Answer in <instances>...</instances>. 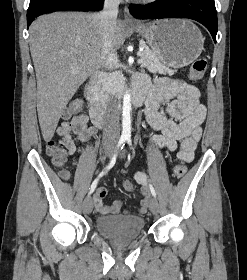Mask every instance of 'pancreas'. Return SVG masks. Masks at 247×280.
I'll return each mask as SVG.
<instances>
[{
  "label": "pancreas",
  "mask_w": 247,
  "mask_h": 280,
  "mask_svg": "<svg viewBox=\"0 0 247 280\" xmlns=\"http://www.w3.org/2000/svg\"><path fill=\"white\" fill-rule=\"evenodd\" d=\"M140 46L143 47L140 55L143 59L142 67L146 68L149 72L164 75H173L176 72V70L166 67L144 42H141ZM121 81L122 77L120 72H116L113 75H106L98 84V97L104 100L109 94L118 91L121 86Z\"/></svg>",
  "instance_id": "1"
}]
</instances>
